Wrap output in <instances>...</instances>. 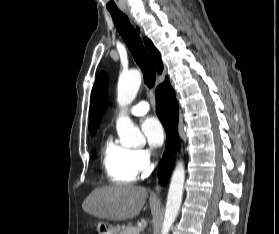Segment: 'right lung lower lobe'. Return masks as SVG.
I'll use <instances>...</instances> for the list:
<instances>
[{"instance_id":"98d812e1","label":"right lung lower lobe","mask_w":279,"mask_h":234,"mask_svg":"<svg viewBox=\"0 0 279 234\" xmlns=\"http://www.w3.org/2000/svg\"><path fill=\"white\" fill-rule=\"evenodd\" d=\"M156 113L168 137L167 151L159 164L158 172V176H162L160 182L165 184V179L168 177L173 162L171 152L176 150L178 143V107L174 91L167 79L156 90Z\"/></svg>"}]
</instances>
